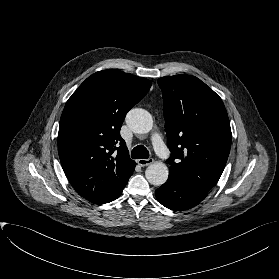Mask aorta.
<instances>
[{"mask_svg": "<svg viewBox=\"0 0 279 279\" xmlns=\"http://www.w3.org/2000/svg\"><path fill=\"white\" fill-rule=\"evenodd\" d=\"M126 123L134 133L138 134H146L150 132L153 127L151 114L141 108L131 109L126 115ZM168 175V168L162 162L150 164L145 171L148 182L156 186L164 184L168 179Z\"/></svg>", "mask_w": 279, "mask_h": 279, "instance_id": "1", "label": "aorta"}]
</instances>
